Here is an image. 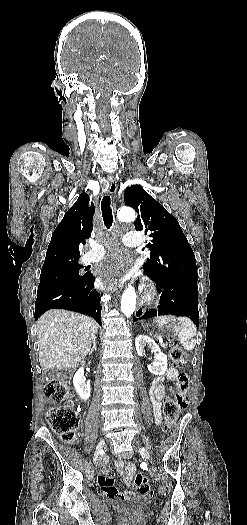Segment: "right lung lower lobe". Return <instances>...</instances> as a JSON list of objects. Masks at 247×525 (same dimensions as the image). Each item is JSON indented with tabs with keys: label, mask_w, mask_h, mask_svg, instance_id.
<instances>
[{
	"label": "right lung lower lobe",
	"mask_w": 247,
	"mask_h": 525,
	"mask_svg": "<svg viewBox=\"0 0 247 525\" xmlns=\"http://www.w3.org/2000/svg\"><path fill=\"white\" fill-rule=\"evenodd\" d=\"M92 274L77 282L51 285L37 291L35 320L49 309H66L87 314L101 324L100 294Z\"/></svg>",
	"instance_id": "98d812e1"
}]
</instances>
